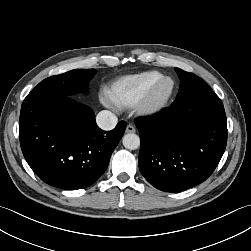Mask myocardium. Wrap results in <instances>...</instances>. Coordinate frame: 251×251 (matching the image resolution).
I'll return each mask as SVG.
<instances>
[{
	"instance_id": "myocardium-1",
	"label": "myocardium",
	"mask_w": 251,
	"mask_h": 251,
	"mask_svg": "<svg viewBox=\"0 0 251 251\" xmlns=\"http://www.w3.org/2000/svg\"><path fill=\"white\" fill-rule=\"evenodd\" d=\"M165 82H169L170 87L164 95L159 96L158 92ZM174 92V80L171 77L163 76L147 90V92L136 104L137 112L142 116H154L160 113L167 107Z\"/></svg>"
}]
</instances>
